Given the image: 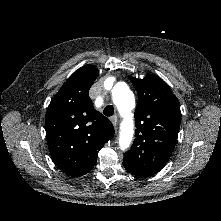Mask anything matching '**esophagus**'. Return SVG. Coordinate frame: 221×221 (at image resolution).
<instances>
[{
  "mask_svg": "<svg viewBox=\"0 0 221 221\" xmlns=\"http://www.w3.org/2000/svg\"><path fill=\"white\" fill-rule=\"evenodd\" d=\"M110 120H111V122H112V124H113L114 126L117 125V116H116V115L112 116V117L110 118Z\"/></svg>",
  "mask_w": 221,
  "mask_h": 221,
  "instance_id": "obj_1",
  "label": "esophagus"
}]
</instances>
